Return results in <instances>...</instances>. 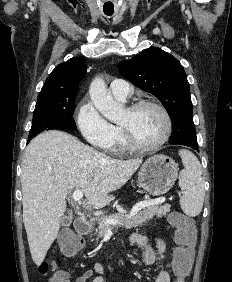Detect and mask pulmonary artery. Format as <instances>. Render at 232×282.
I'll use <instances>...</instances> for the list:
<instances>
[{
	"label": "pulmonary artery",
	"instance_id": "1",
	"mask_svg": "<svg viewBox=\"0 0 232 282\" xmlns=\"http://www.w3.org/2000/svg\"><path fill=\"white\" fill-rule=\"evenodd\" d=\"M111 94L120 101H124L131 94V86L128 82L122 79H115L110 84Z\"/></svg>",
	"mask_w": 232,
	"mask_h": 282
}]
</instances>
